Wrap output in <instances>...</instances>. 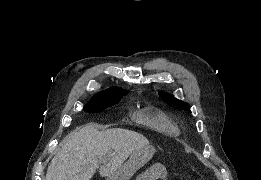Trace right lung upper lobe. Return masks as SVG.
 <instances>
[{"label": "right lung upper lobe", "instance_id": "obj_1", "mask_svg": "<svg viewBox=\"0 0 261 180\" xmlns=\"http://www.w3.org/2000/svg\"><path fill=\"white\" fill-rule=\"evenodd\" d=\"M126 93L127 91H125L124 89H118L116 87H112L93 96L92 99L116 98V97H121V94L124 95Z\"/></svg>", "mask_w": 261, "mask_h": 180}]
</instances>
